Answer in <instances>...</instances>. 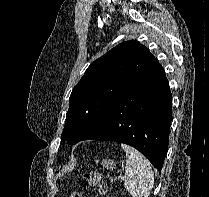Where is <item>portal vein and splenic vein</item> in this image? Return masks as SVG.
<instances>
[{"mask_svg":"<svg viewBox=\"0 0 209 197\" xmlns=\"http://www.w3.org/2000/svg\"><path fill=\"white\" fill-rule=\"evenodd\" d=\"M125 179V176H121V180H124Z\"/></svg>","mask_w":209,"mask_h":197,"instance_id":"portal-vein-and-splenic-vein-1","label":"portal vein and splenic vein"}]
</instances>
